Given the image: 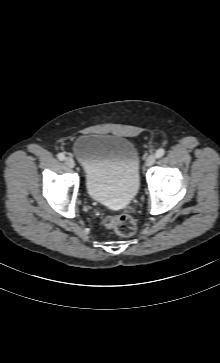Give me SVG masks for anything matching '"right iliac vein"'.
Masks as SVG:
<instances>
[{"mask_svg": "<svg viewBox=\"0 0 220 363\" xmlns=\"http://www.w3.org/2000/svg\"><path fill=\"white\" fill-rule=\"evenodd\" d=\"M65 164H66V166H67V167H69V168H74V167H75V162H74V160H73L72 158H70V157H67V158L65 159Z\"/></svg>", "mask_w": 220, "mask_h": 363, "instance_id": "obj_1", "label": "right iliac vein"}]
</instances>
